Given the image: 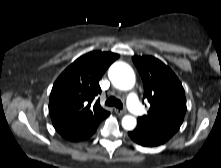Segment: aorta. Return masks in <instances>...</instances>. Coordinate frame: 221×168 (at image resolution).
I'll list each match as a JSON object with an SVG mask.
<instances>
[{"label":"aorta","mask_w":221,"mask_h":168,"mask_svg":"<svg viewBox=\"0 0 221 168\" xmlns=\"http://www.w3.org/2000/svg\"><path fill=\"white\" fill-rule=\"evenodd\" d=\"M108 76L112 84L121 90H130L135 85V73L125 62H115L109 69ZM137 120L131 115H125L122 119V127L125 130H133Z\"/></svg>","instance_id":"aorta-1"}]
</instances>
